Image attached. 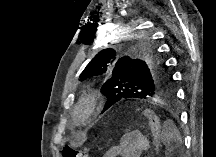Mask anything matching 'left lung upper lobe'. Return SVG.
I'll return each instance as SVG.
<instances>
[{
  "instance_id": "left-lung-upper-lobe-1",
  "label": "left lung upper lobe",
  "mask_w": 216,
  "mask_h": 157,
  "mask_svg": "<svg viewBox=\"0 0 216 157\" xmlns=\"http://www.w3.org/2000/svg\"><path fill=\"white\" fill-rule=\"evenodd\" d=\"M134 34L110 39L114 45H106L80 75V81L110 75L101 89L107 97L106 104L127 99L168 98L173 94V79L167 66L152 46L144 43L152 38L149 31Z\"/></svg>"
}]
</instances>
